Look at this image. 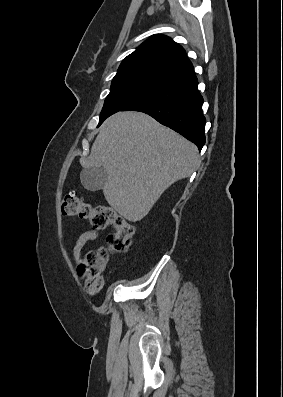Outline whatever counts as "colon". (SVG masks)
<instances>
[{"mask_svg":"<svg viewBox=\"0 0 283 397\" xmlns=\"http://www.w3.org/2000/svg\"><path fill=\"white\" fill-rule=\"evenodd\" d=\"M61 211L66 216H78L88 220L96 228L112 226L114 231L107 236L106 246L88 252L78 266V271L85 279L86 290L96 294L103 288L101 271L109 256L129 249L134 235L133 225L119 215L111 206H92L79 199L74 193L64 195Z\"/></svg>","mask_w":283,"mask_h":397,"instance_id":"5ec220e1","label":"colon"}]
</instances>
